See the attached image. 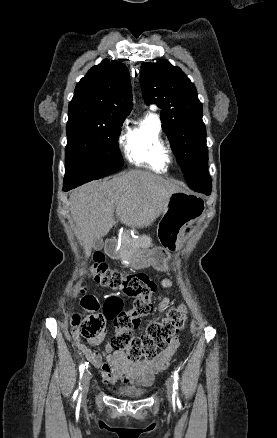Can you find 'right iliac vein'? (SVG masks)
Returning a JSON list of instances; mask_svg holds the SVG:
<instances>
[{"mask_svg":"<svg viewBox=\"0 0 277 438\" xmlns=\"http://www.w3.org/2000/svg\"><path fill=\"white\" fill-rule=\"evenodd\" d=\"M90 379H91L90 373L89 371H86L83 374L82 397H86L88 393Z\"/></svg>","mask_w":277,"mask_h":438,"instance_id":"right-iliac-vein-1","label":"right iliac vein"}]
</instances>
